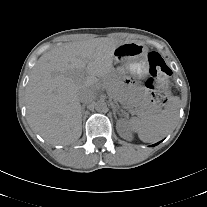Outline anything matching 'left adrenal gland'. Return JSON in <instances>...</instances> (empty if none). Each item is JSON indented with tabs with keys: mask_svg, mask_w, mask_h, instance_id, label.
Masks as SVG:
<instances>
[{
	"mask_svg": "<svg viewBox=\"0 0 207 207\" xmlns=\"http://www.w3.org/2000/svg\"><path fill=\"white\" fill-rule=\"evenodd\" d=\"M111 106H112V109H113V114H114V117H116V112H119V106L113 102H111Z\"/></svg>",
	"mask_w": 207,
	"mask_h": 207,
	"instance_id": "1",
	"label": "left adrenal gland"
}]
</instances>
